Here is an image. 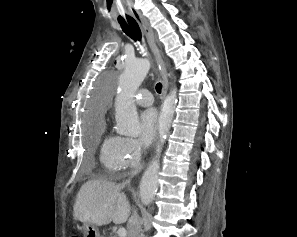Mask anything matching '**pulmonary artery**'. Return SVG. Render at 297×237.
<instances>
[{"instance_id":"obj_1","label":"pulmonary artery","mask_w":297,"mask_h":237,"mask_svg":"<svg viewBox=\"0 0 297 237\" xmlns=\"http://www.w3.org/2000/svg\"><path fill=\"white\" fill-rule=\"evenodd\" d=\"M136 103L141 106H150L153 104V97L149 90H140L136 95Z\"/></svg>"}]
</instances>
